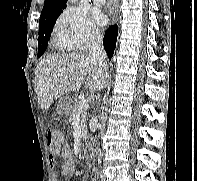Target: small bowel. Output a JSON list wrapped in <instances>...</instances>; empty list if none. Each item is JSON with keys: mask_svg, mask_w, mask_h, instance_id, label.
I'll return each instance as SVG.
<instances>
[{"mask_svg": "<svg viewBox=\"0 0 197 181\" xmlns=\"http://www.w3.org/2000/svg\"><path fill=\"white\" fill-rule=\"evenodd\" d=\"M57 156H60L62 159V164H61L62 175L68 178L72 177L76 169V164L71 155L70 148L67 145H64L61 148V150H59L58 152L50 151L49 163L52 169L56 168L58 164L57 159H56ZM53 181H58V178L56 175L53 176Z\"/></svg>", "mask_w": 197, "mask_h": 181, "instance_id": "small-bowel-1", "label": "small bowel"}]
</instances>
